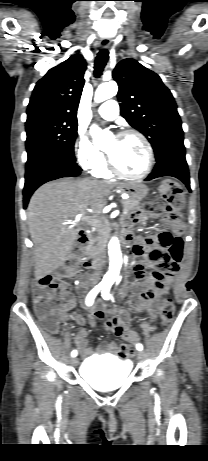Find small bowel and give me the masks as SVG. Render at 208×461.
I'll list each match as a JSON object with an SVG mask.
<instances>
[{
	"instance_id": "small-bowel-1",
	"label": "small bowel",
	"mask_w": 208,
	"mask_h": 461,
	"mask_svg": "<svg viewBox=\"0 0 208 461\" xmlns=\"http://www.w3.org/2000/svg\"><path fill=\"white\" fill-rule=\"evenodd\" d=\"M132 214H125L123 219L126 222L125 228H130L131 224H142L147 214L146 209H132ZM173 229L154 230V234L149 237H141L135 242L133 254L135 257L142 258L141 262L134 267V278L130 283H125L119 290V296L125 297L130 293L129 304L134 312H144L150 321L157 317V298L166 293L169 286L184 263L185 256L188 254L187 243L184 234H181V224L171 223ZM147 245L151 250L163 251H144ZM69 263H62V271H68L69 279L77 278L79 275V256H69ZM153 269L150 274L144 272V268ZM62 306L64 311L60 318L64 321L67 318L80 325L74 336V343L81 354L85 357L95 353L109 352L121 358H125V353L118 349L114 342H104L96 348L89 347L87 344V330L83 327L86 323L93 325L97 319L107 317L106 329L124 340H135L139 342L136 332L129 330L130 313L123 311L119 314H111L107 309L93 306L91 313L84 317L79 314H69L70 309H75L81 301L80 295H74L70 291V284L63 281L60 284Z\"/></svg>"
}]
</instances>
